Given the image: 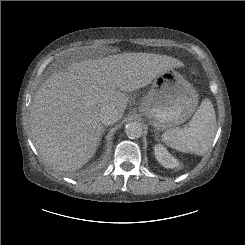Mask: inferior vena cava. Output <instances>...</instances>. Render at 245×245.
<instances>
[{
    "label": "inferior vena cava",
    "mask_w": 245,
    "mask_h": 245,
    "mask_svg": "<svg viewBox=\"0 0 245 245\" xmlns=\"http://www.w3.org/2000/svg\"><path fill=\"white\" fill-rule=\"evenodd\" d=\"M100 121L103 125H113L119 119V114L114 107L104 106L100 109L99 112Z\"/></svg>",
    "instance_id": "obj_1"
}]
</instances>
